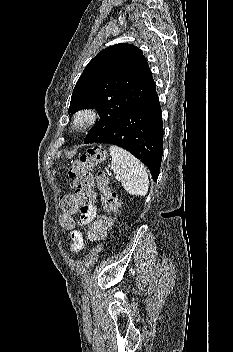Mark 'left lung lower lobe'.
<instances>
[{
	"label": "left lung lower lobe",
	"instance_id": "0a47b994",
	"mask_svg": "<svg viewBox=\"0 0 233 352\" xmlns=\"http://www.w3.org/2000/svg\"><path fill=\"white\" fill-rule=\"evenodd\" d=\"M90 143L124 148L141 160L157 181L163 154V122L156 89L125 111L106 132Z\"/></svg>",
	"mask_w": 233,
	"mask_h": 352
}]
</instances>
